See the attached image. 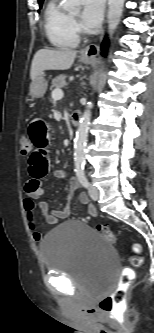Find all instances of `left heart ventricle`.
Wrapping results in <instances>:
<instances>
[{
	"label": "left heart ventricle",
	"instance_id": "1",
	"mask_svg": "<svg viewBox=\"0 0 154 333\" xmlns=\"http://www.w3.org/2000/svg\"><path fill=\"white\" fill-rule=\"evenodd\" d=\"M72 16H73L74 18H77V17L79 16V12H75V13H73Z\"/></svg>",
	"mask_w": 154,
	"mask_h": 333
}]
</instances>
